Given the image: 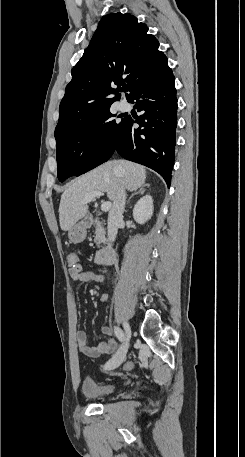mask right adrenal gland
Segmentation results:
<instances>
[{
  "instance_id": "right-adrenal-gland-1",
  "label": "right adrenal gland",
  "mask_w": 245,
  "mask_h": 457,
  "mask_svg": "<svg viewBox=\"0 0 245 457\" xmlns=\"http://www.w3.org/2000/svg\"><path fill=\"white\" fill-rule=\"evenodd\" d=\"M149 184H143V186H141L140 190H138V192H134V194H139V192H141V194H143V192H145L146 188H148ZM134 194H131V196H129V200L130 198H132V196H134Z\"/></svg>"
}]
</instances>
